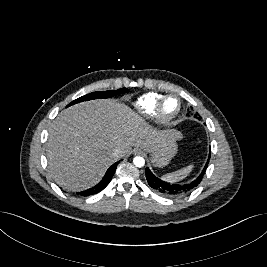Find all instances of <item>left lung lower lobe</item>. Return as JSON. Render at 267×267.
I'll return each instance as SVG.
<instances>
[{
    "label": "left lung lower lobe",
    "instance_id": "left-lung-lower-lobe-1",
    "mask_svg": "<svg viewBox=\"0 0 267 267\" xmlns=\"http://www.w3.org/2000/svg\"><path fill=\"white\" fill-rule=\"evenodd\" d=\"M210 156H211V153H209L207 163L204 169L202 170L201 174L190 183H185V184L173 183L172 184V183L165 182L161 180L160 178H158L157 176H155L150 171V169L147 167L145 170V175H146L148 184L158 193L165 195V196L178 197V196L186 195L190 193L193 189H195L202 181L203 175L209 163Z\"/></svg>",
    "mask_w": 267,
    "mask_h": 267
}]
</instances>
